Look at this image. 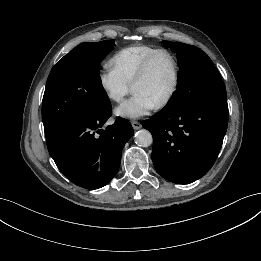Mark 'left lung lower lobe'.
Segmentation results:
<instances>
[{
	"label": "left lung lower lobe",
	"instance_id": "0a47b994",
	"mask_svg": "<svg viewBox=\"0 0 261 261\" xmlns=\"http://www.w3.org/2000/svg\"><path fill=\"white\" fill-rule=\"evenodd\" d=\"M227 124L226 97L179 112L163 108L143 122L153 136L152 160L156 171L178 184L201 178L218 156Z\"/></svg>",
	"mask_w": 261,
	"mask_h": 261
}]
</instances>
